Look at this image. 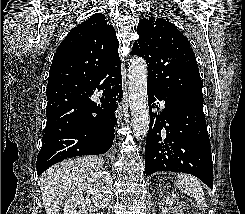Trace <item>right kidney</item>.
<instances>
[{"label": "right kidney", "instance_id": "obj_1", "mask_svg": "<svg viewBox=\"0 0 245 214\" xmlns=\"http://www.w3.org/2000/svg\"><path fill=\"white\" fill-rule=\"evenodd\" d=\"M112 183V178L106 171L91 173L87 181L79 185L66 201L64 214H87L85 207L90 202V195L97 208L107 207L112 196Z\"/></svg>", "mask_w": 245, "mask_h": 214}]
</instances>
